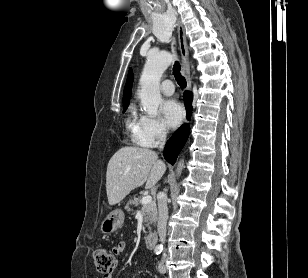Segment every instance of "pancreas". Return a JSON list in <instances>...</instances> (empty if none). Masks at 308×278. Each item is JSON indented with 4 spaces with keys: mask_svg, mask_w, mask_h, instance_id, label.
<instances>
[{
    "mask_svg": "<svg viewBox=\"0 0 308 278\" xmlns=\"http://www.w3.org/2000/svg\"><path fill=\"white\" fill-rule=\"evenodd\" d=\"M129 204L135 205L136 207L142 205L141 199L138 197H134L132 200H129ZM141 213L144 217L145 227H148L149 231H151V226L155 224L157 220V208L155 201L142 205Z\"/></svg>",
    "mask_w": 308,
    "mask_h": 278,
    "instance_id": "obj_1",
    "label": "pancreas"
}]
</instances>
